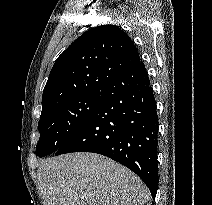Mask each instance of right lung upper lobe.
Wrapping results in <instances>:
<instances>
[{
  "mask_svg": "<svg viewBox=\"0 0 212 205\" xmlns=\"http://www.w3.org/2000/svg\"><path fill=\"white\" fill-rule=\"evenodd\" d=\"M140 61L136 46L121 28L103 25L85 32L54 63L41 114L72 98L101 91Z\"/></svg>",
  "mask_w": 212,
  "mask_h": 205,
  "instance_id": "right-lung-upper-lobe-1",
  "label": "right lung upper lobe"
}]
</instances>
